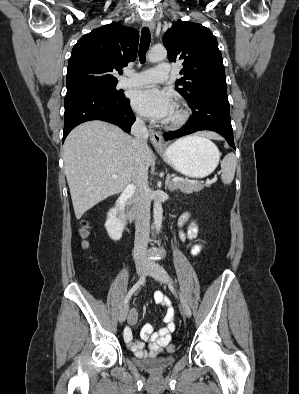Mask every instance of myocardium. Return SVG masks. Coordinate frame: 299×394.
I'll return each mask as SVG.
<instances>
[{"label":"myocardium","mask_w":299,"mask_h":394,"mask_svg":"<svg viewBox=\"0 0 299 394\" xmlns=\"http://www.w3.org/2000/svg\"><path fill=\"white\" fill-rule=\"evenodd\" d=\"M177 115L172 119H167L165 125L170 128H177L184 125L190 116L189 110L180 102L175 103Z\"/></svg>","instance_id":"1"}]
</instances>
